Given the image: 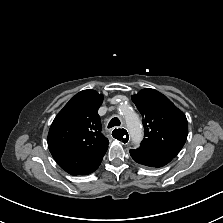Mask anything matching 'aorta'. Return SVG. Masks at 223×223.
I'll use <instances>...</instances> for the list:
<instances>
[{"mask_svg": "<svg viewBox=\"0 0 223 223\" xmlns=\"http://www.w3.org/2000/svg\"><path fill=\"white\" fill-rule=\"evenodd\" d=\"M121 110L132 142L134 144H139L143 138V131L138 115L129 107V105H123Z\"/></svg>", "mask_w": 223, "mask_h": 223, "instance_id": "obj_1", "label": "aorta"}]
</instances>
